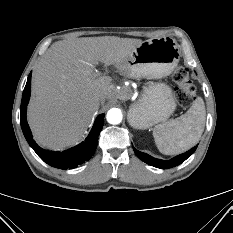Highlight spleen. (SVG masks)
Instances as JSON below:
<instances>
[{
    "mask_svg": "<svg viewBox=\"0 0 233 233\" xmlns=\"http://www.w3.org/2000/svg\"><path fill=\"white\" fill-rule=\"evenodd\" d=\"M205 120L204 101L198 97L184 115L155 126L153 137L157 148L165 155L189 150L199 141Z\"/></svg>",
    "mask_w": 233,
    "mask_h": 233,
    "instance_id": "spleen-1",
    "label": "spleen"
}]
</instances>
